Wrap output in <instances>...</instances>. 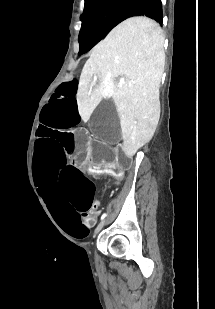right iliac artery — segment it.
<instances>
[{"instance_id":"right-iliac-artery-1","label":"right iliac artery","mask_w":215,"mask_h":309,"mask_svg":"<svg viewBox=\"0 0 215 309\" xmlns=\"http://www.w3.org/2000/svg\"><path fill=\"white\" fill-rule=\"evenodd\" d=\"M106 217V213H104L101 217V220H103Z\"/></svg>"}]
</instances>
